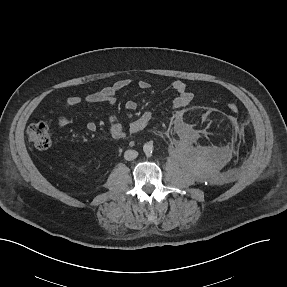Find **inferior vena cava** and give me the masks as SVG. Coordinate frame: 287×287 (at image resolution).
I'll return each mask as SVG.
<instances>
[{
  "mask_svg": "<svg viewBox=\"0 0 287 287\" xmlns=\"http://www.w3.org/2000/svg\"><path fill=\"white\" fill-rule=\"evenodd\" d=\"M138 156V152L135 150H127L124 153V158L128 161L134 160Z\"/></svg>",
  "mask_w": 287,
  "mask_h": 287,
  "instance_id": "inferior-vena-cava-1",
  "label": "inferior vena cava"
}]
</instances>
